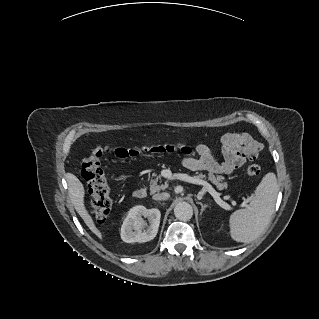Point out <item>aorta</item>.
Segmentation results:
<instances>
[{
	"label": "aorta",
	"instance_id": "aorta-1",
	"mask_svg": "<svg viewBox=\"0 0 319 319\" xmlns=\"http://www.w3.org/2000/svg\"><path fill=\"white\" fill-rule=\"evenodd\" d=\"M174 215L178 220L187 221L193 216V208L188 202H178L174 208Z\"/></svg>",
	"mask_w": 319,
	"mask_h": 319
}]
</instances>
